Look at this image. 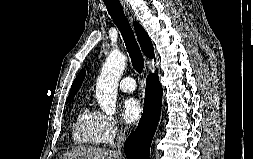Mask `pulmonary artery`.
Listing matches in <instances>:
<instances>
[{
	"label": "pulmonary artery",
	"mask_w": 253,
	"mask_h": 159,
	"mask_svg": "<svg viewBox=\"0 0 253 159\" xmlns=\"http://www.w3.org/2000/svg\"><path fill=\"white\" fill-rule=\"evenodd\" d=\"M119 87L123 92H133L136 89V83L132 77H123L119 83Z\"/></svg>",
	"instance_id": "obj_1"
}]
</instances>
